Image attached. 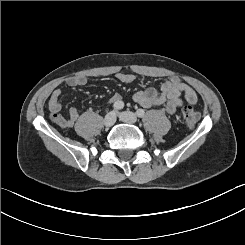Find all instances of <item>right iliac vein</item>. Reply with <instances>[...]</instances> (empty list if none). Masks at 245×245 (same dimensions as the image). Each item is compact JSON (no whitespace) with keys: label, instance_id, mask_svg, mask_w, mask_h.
Returning a JSON list of instances; mask_svg holds the SVG:
<instances>
[{"label":"right iliac vein","instance_id":"1","mask_svg":"<svg viewBox=\"0 0 245 245\" xmlns=\"http://www.w3.org/2000/svg\"><path fill=\"white\" fill-rule=\"evenodd\" d=\"M116 121V114L114 111H110L104 118V125L106 127H112Z\"/></svg>","mask_w":245,"mask_h":245}]
</instances>
